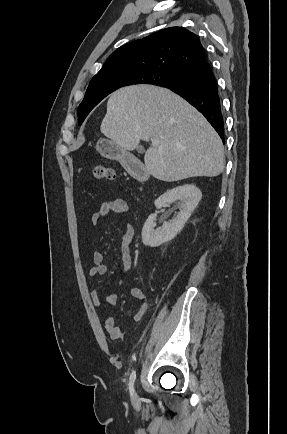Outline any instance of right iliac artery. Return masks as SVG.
<instances>
[{"mask_svg":"<svg viewBox=\"0 0 287 434\" xmlns=\"http://www.w3.org/2000/svg\"><path fill=\"white\" fill-rule=\"evenodd\" d=\"M135 379H136V371H133L130 375V378H129V390H130L131 395L134 391L133 385H134Z\"/></svg>","mask_w":287,"mask_h":434,"instance_id":"obj_1","label":"right iliac artery"}]
</instances>
